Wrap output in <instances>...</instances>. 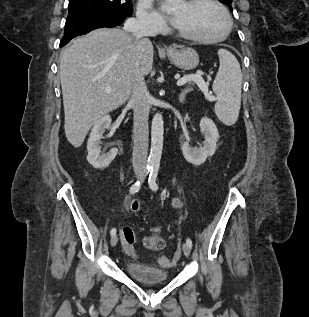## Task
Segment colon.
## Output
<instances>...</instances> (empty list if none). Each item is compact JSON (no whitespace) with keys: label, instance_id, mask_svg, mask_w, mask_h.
Returning <instances> with one entry per match:
<instances>
[{"label":"colon","instance_id":"colon-1","mask_svg":"<svg viewBox=\"0 0 309 317\" xmlns=\"http://www.w3.org/2000/svg\"><path fill=\"white\" fill-rule=\"evenodd\" d=\"M130 210L132 212H137L139 210V203L137 201H132L130 203ZM121 242L125 247H132L135 242V234L130 227H123L121 229ZM145 244L148 248L158 250L164 246V242L158 236H150L145 240ZM160 264L164 267H168L169 258L166 256L161 257Z\"/></svg>","mask_w":309,"mask_h":317}]
</instances>
